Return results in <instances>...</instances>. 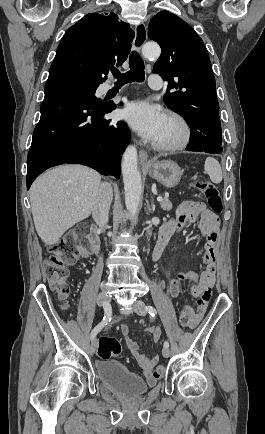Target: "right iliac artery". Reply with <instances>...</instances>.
Returning <instances> with one entry per match:
<instances>
[{"label":"right iliac artery","instance_id":"82829eb1","mask_svg":"<svg viewBox=\"0 0 265 434\" xmlns=\"http://www.w3.org/2000/svg\"><path fill=\"white\" fill-rule=\"evenodd\" d=\"M104 307V311H105V316L103 317V320L94 327V329L91 332V339L93 340L95 338V336L97 335V333L105 326L107 325L108 321H110L111 319V314H112V310H111V306L110 305H103Z\"/></svg>","mask_w":265,"mask_h":434}]
</instances>
